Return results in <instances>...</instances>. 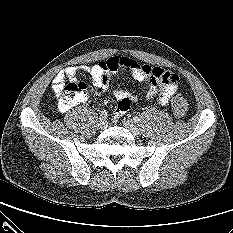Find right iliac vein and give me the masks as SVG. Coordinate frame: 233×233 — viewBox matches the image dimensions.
I'll list each match as a JSON object with an SVG mask.
<instances>
[{"label":"right iliac vein","mask_w":233,"mask_h":233,"mask_svg":"<svg viewBox=\"0 0 233 233\" xmlns=\"http://www.w3.org/2000/svg\"><path fill=\"white\" fill-rule=\"evenodd\" d=\"M108 123L105 119H100L97 123V129L98 130H104L106 129Z\"/></svg>","instance_id":"1"}]
</instances>
